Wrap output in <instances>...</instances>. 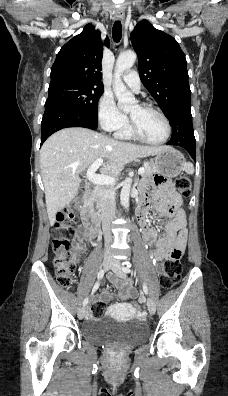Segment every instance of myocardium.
I'll list each match as a JSON object with an SVG mask.
<instances>
[{
    "instance_id": "f54148a6",
    "label": "myocardium",
    "mask_w": 228,
    "mask_h": 396,
    "mask_svg": "<svg viewBox=\"0 0 228 396\" xmlns=\"http://www.w3.org/2000/svg\"><path fill=\"white\" fill-rule=\"evenodd\" d=\"M141 108L146 109V110H150L153 111L155 113H157L163 120L164 124H165V128H166V133L163 139L159 140V141H150L147 140L146 138H144L141 133L138 131V129L136 128L135 124L133 123L132 119L130 118L129 121V130L130 133L132 134L133 137H135L136 139H138L139 141L149 144V145H162L165 144L166 142H168V140L171 137V124L169 122V119L167 118V116L163 113L162 110H160L158 107L149 104V103H140L138 104Z\"/></svg>"
}]
</instances>
